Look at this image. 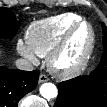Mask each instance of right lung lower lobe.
Wrapping results in <instances>:
<instances>
[{
  "instance_id": "1",
  "label": "right lung lower lobe",
  "mask_w": 107,
  "mask_h": 107,
  "mask_svg": "<svg viewBox=\"0 0 107 107\" xmlns=\"http://www.w3.org/2000/svg\"><path fill=\"white\" fill-rule=\"evenodd\" d=\"M39 71L0 67V107H17L19 100L35 89Z\"/></svg>"
}]
</instances>
